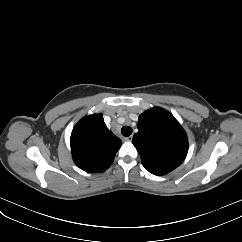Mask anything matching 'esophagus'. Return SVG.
<instances>
[{
    "label": "esophagus",
    "mask_w": 242,
    "mask_h": 242,
    "mask_svg": "<svg viewBox=\"0 0 242 242\" xmlns=\"http://www.w3.org/2000/svg\"><path fill=\"white\" fill-rule=\"evenodd\" d=\"M132 138H133V136L130 135V136H128V137L125 138V141H132Z\"/></svg>",
    "instance_id": "34e87169"
}]
</instances>
